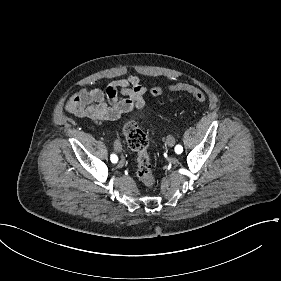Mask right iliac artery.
<instances>
[{"label":"right iliac artery","instance_id":"82829eb1","mask_svg":"<svg viewBox=\"0 0 281 281\" xmlns=\"http://www.w3.org/2000/svg\"><path fill=\"white\" fill-rule=\"evenodd\" d=\"M111 161L113 162V163H116L117 161H118V157L116 156V155H111Z\"/></svg>","mask_w":281,"mask_h":281}]
</instances>
